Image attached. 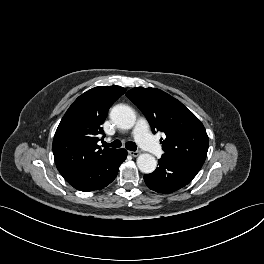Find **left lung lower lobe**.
Masks as SVG:
<instances>
[{
	"mask_svg": "<svg viewBox=\"0 0 264 264\" xmlns=\"http://www.w3.org/2000/svg\"><path fill=\"white\" fill-rule=\"evenodd\" d=\"M159 167L144 175L146 185L153 191L169 194L190 183L201 167L183 158L163 154Z\"/></svg>",
	"mask_w": 264,
	"mask_h": 264,
	"instance_id": "left-lung-lower-lobe-1",
	"label": "left lung lower lobe"
}]
</instances>
